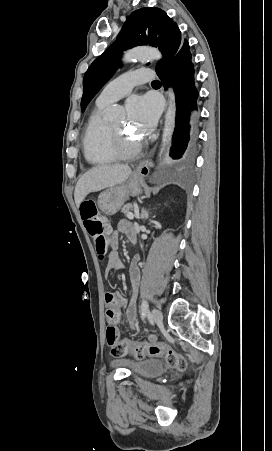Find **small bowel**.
<instances>
[{
  "instance_id": "obj_1",
  "label": "small bowel",
  "mask_w": 272,
  "mask_h": 451,
  "mask_svg": "<svg viewBox=\"0 0 272 451\" xmlns=\"http://www.w3.org/2000/svg\"><path fill=\"white\" fill-rule=\"evenodd\" d=\"M107 232L111 235L109 243L111 245V251L107 256V263L105 266V274L108 275L113 270H120L123 268V262L117 252L118 248V234L122 233L128 238L133 239L135 236V227L133 223L128 219H122L118 222L116 229L109 228L107 226ZM129 278L131 281V300L128 301L120 293H108L106 295L107 303V318L112 323H118L121 319V311L125 310V317L132 329H135L138 325L137 310L135 305V299L138 294L141 272H140V259L134 257L130 268Z\"/></svg>"
}]
</instances>
